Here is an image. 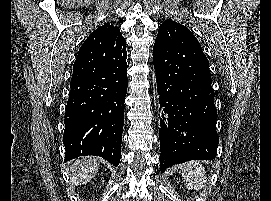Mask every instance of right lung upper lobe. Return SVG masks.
Here are the masks:
<instances>
[{
	"label": "right lung upper lobe",
	"mask_w": 271,
	"mask_h": 201,
	"mask_svg": "<svg viewBox=\"0 0 271 201\" xmlns=\"http://www.w3.org/2000/svg\"><path fill=\"white\" fill-rule=\"evenodd\" d=\"M103 35L114 37L115 39H118L119 41L124 40L123 36L120 33L119 28L109 23H106L103 26H100L94 32L90 34V36H103Z\"/></svg>",
	"instance_id": "cb5924a9"
}]
</instances>
